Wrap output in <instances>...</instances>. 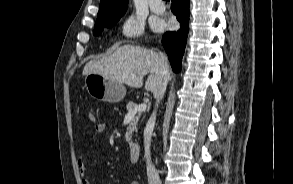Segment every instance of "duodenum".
<instances>
[{"instance_id": "410a0bca", "label": "duodenum", "mask_w": 293, "mask_h": 184, "mask_svg": "<svg viewBox=\"0 0 293 184\" xmlns=\"http://www.w3.org/2000/svg\"><path fill=\"white\" fill-rule=\"evenodd\" d=\"M130 159L132 161H137L139 159V156H140V145L136 142H132L130 143Z\"/></svg>"}]
</instances>
